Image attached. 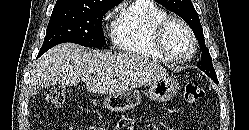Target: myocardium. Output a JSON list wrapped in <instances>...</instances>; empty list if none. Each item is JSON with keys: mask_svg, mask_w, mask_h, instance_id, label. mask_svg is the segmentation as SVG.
I'll return each mask as SVG.
<instances>
[{"mask_svg": "<svg viewBox=\"0 0 249 130\" xmlns=\"http://www.w3.org/2000/svg\"><path fill=\"white\" fill-rule=\"evenodd\" d=\"M173 23H177L180 26H182L183 29L188 34L190 41H191V51L184 58H176L173 55H171L168 52L166 45H165L166 32ZM153 40H154V45H155L156 50L163 57V59L168 62H172L176 64L186 63L194 57L197 51V39H196V36L193 30L191 29V27L188 25L186 21L176 16H167L156 24L154 28V32H153Z\"/></svg>", "mask_w": 249, "mask_h": 130, "instance_id": "f54148a6", "label": "myocardium"}]
</instances>
